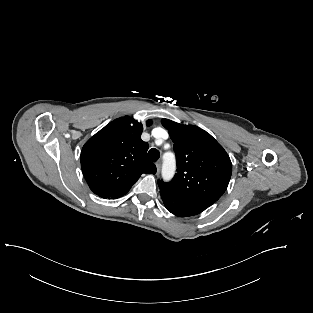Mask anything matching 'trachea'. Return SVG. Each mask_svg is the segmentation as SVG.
Segmentation results:
<instances>
[{"label": "trachea", "instance_id": "1", "mask_svg": "<svg viewBox=\"0 0 313 313\" xmlns=\"http://www.w3.org/2000/svg\"><path fill=\"white\" fill-rule=\"evenodd\" d=\"M160 157V153L157 149L152 148L149 150L148 152V158L149 160H151L152 162H156Z\"/></svg>", "mask_w": 313, "mask_h": 313}]
</instances>
